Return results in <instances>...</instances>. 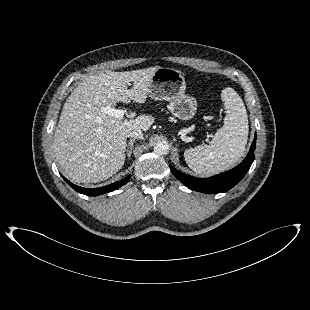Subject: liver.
I'll use <instances>...</instances> for the list:
<instances>
[{"instance_id": "liver-1", "label": "liver", "mask_w": 310, "mask_h": 310, "mask_svg": "<svg viewBox=\"0 0 310 310\" xmlns=\"http://www.w3.org/2000/svg\"><path fill=\"white\" fill-rule=\"evenodd\" d=\"M159 67L101 72L74 89L63 106L53 141L55 157L73 181L101 182L123 167L127 133L133 129L147 131L154 117L140 115L122 121L102 109L117 102L143 104ZM130 82L133 86L128 89Z\"/></svg>"}]
</instances>
